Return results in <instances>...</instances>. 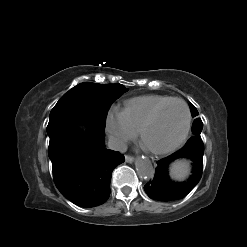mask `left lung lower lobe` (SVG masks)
I'll return each instance as SVG.
<instances>
[{"mask_svg": "<svg viewBox=\"0 0 247 247\" xmlns=\"http://www.w3.org/2000/svg\"><path fill=\"white\" fill-rule=\"evenodd\" d=\"M204 144L201 137H191L185 146L157 162L155 177L144 189L147 195L158 201H172L185 197L199 182L202 175ZM187 158L193 162V174L184 183H175L167 175L168 165L174 160Z\"/></svg>", "mask_w": 247, "mask_h": 247, "instance_id": "0a47b994", "label": "left lung lower lobe"}]
</instances>
